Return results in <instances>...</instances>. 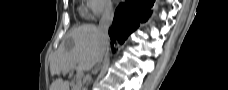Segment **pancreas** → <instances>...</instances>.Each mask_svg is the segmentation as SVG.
Here are the masks:
<instances>
[{"label":"pancreas","mask_w":228,"mask_h":90,"mask_svg":"<svg viewBox=\"0 0 228 90\" xmlns=\"http://www.w3.org/2000/svg\"><path fill=\"white\" fill-rule=\"evenodd\" d=\"M80 87H81V82L78 81L76 86H75V88H74V90H80Z\"/></svg>","instance_id":"1"}]
</instances>
